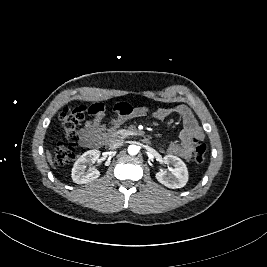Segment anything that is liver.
Instances as JSON below:
<instances>
[{
    "instance_id": "6515ba94",
    "label": "liver",
    "mask_w": 267,
    "mask_h": 267,
    "mask_svg": "<svg viewBox=\"0 0 267 267\" xmlns=\"http://www.w3.org/2000/svg\"><path fill=\"white\" fill-rule=\"evenodd\" d=\"M46 158H47V161L49 162V164L54 168V164H53V161H52V155L49 152V150L46 151Z\"/></svg>"
}]
</instances>
